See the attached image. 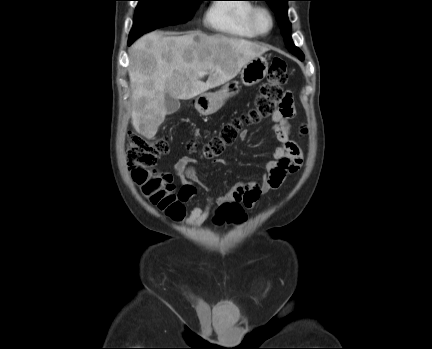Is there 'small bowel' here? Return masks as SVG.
I'll use <instances>...</instances> for the list:
<instances>
[{
	"label": "small bowel",
	"instance_id": "small-bowel-1",
	"mask_svg": "<svg viewBox=\"0 0 432 349\" xmlns=\"http://www.w3.org/2000/svg\"><path fill=\"white\" fill-rule=\"evenodd\" d=\"M294 116L291 106L289 113L276 112L272 115V130L279 145L273 151L271 158L266 162L261 182H243L236 184L229 193L218 197L215 202L222 206L226 203H239L247 208L254 206L264 194L278 189L285 178L296 173L303 162L302 150L293 138L290 119ZM305 130H302L304 133ZM245 133L240 135L245 138ZM216 163H223L216 160ZM196 159L191 156H182L174 164V174L178 178L181 189L179 198L183 203L190 202L198 193L197 186H202L194 167ZM214 200L206 196L203 204H197L186 217L185 221L190 226H201L208 218Z\"/></svg>",
	"mask_w": 432,
	"mask_h": 349
}]
</instances>
